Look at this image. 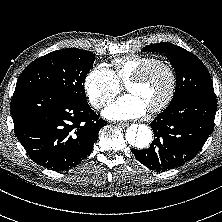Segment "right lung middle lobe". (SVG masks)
<instances>
[{"label": "right lung middle lobe", "mask_w": 222, "mask_h": 222, "mask_svg": "<svg viewBox=\"0 0 222 222\" xmlns=\"http://www.w3.org/2000/svg\"><path fill=\"white\" fill-rule=\"evenodd\" d=\"M94 60L92 52L76 48L48 53L26 67L15 90L39 89L87 102L83 83Z\"/></svg>", "instance_id": "dd1d6c3e"}]
</instances>
